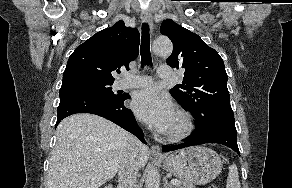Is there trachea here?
Segmentation results:
<instances>
[{"instance_id": "3493384b", "label": "trachea", "mask_w": 292, "mask_h": 188, "mask_svg": "<svg viewBox=\"0 0 292 188\" xmlns=\"http://www.w3.org/2000/svg\"><path fill=\"white\" fill-rule=\"evenodd\" d=\"M141 67L144 65L152 66V58L150 53V35L149 25L144 23L142 25V40H141Z\"/></svg>"}]
</instances>
